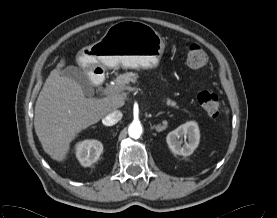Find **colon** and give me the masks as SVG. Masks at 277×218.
Here are the masks:
<instances>
[{"mask_svg": "<svg viewBox=\"0 0 277 218\" xmlns=\"http://www.w3.org/2000/svg\"><path fill=\"white\" fill-rule=\"evenodd\" d=\"M187 64L194 69L200 68L207 63L208 56L199 45H191L186 56ZM198 102L203 110L211 117H217L220 113L219 96L212 91H202L198 94Z\"/></svg>", "mask_w": 277, "mask_h": 218, "instance_id": "5ec220e1", "label": "colon"}]
</instances>
